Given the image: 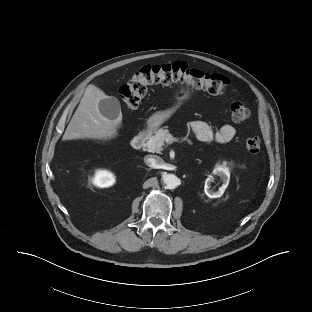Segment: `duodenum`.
Wrapping results in <instances>:
<instances>
[{
    "instance_id": "obj_1",
    "label": "duodenum",
    "mask_w": 312,
    "mask_h": 312,
    "mask_svg": "<svg viewBox=\"0 0 312 312\" xmlns=\"http://www.w3.org/2000/svg\"><path fill=\"white\" fill-rule=\"evenodd\" d=\"M149 134V129H145L136 134L131 140V146L134 149H140L144 146Z\"/></svg>"
}]
</instances>
